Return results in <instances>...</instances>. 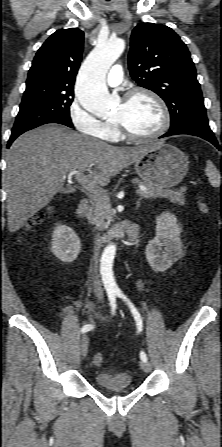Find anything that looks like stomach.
Listing matches in <instances>:
<instances>
[{
  "label": "stomach",
  "instance_id": "stomach-1",
  "mask_svg": "<svg viewBox=\"0 0 222 447\" xmlns=\"http://www.w3.org/2000/svg\"><path fill=\"white\" fill-rule=\"evenodd\" d=\"M188 164V158L177 147L157 142L146 146L145 153L134 161V169L145 183L170 188L184 179Z\"/></svg>",
  "mask_w": 222,
  "mask_h": 447
}]
</instances>
